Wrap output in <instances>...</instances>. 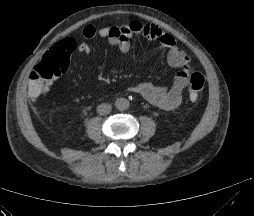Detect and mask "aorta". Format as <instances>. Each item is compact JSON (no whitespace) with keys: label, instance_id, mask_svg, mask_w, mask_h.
<instances>
[{"label":"aorta","instance_id":"aorta-1","mask_svg":"<svg viewBox=\"0 0 254 216\" xmlns=\"http://www.w3.org/2000/svg\"><path fill=\"white\" fill-rule=\"evenodd\" d=\"M129 106H130L129 101L126 98H118L115 101V107L119 111H124V110L128 109Z\"/></svg>","mask_w":254,"mask_h":216}]
</instances>
